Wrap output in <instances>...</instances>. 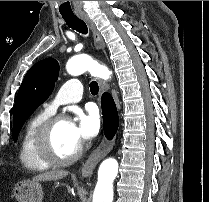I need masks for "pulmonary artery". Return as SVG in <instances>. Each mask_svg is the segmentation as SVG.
I'll return each instance as SVG.
<instances>
[{
	"label": "pulmonary artery",
	"mask_w": 209,
	"mask_h": 202,
	"mask_svg": "<svg viewBox=\"0 0 209 202\" xmlns=\"http://www.w3.org/2000/svg\"><path fill=\"white\" fill-rule=\"evenodd\" d=\"M81 96H82L81 80L78 79L68 80L60 86L58 100L53 103L46 104V110L52 114L56 111L59 105L78 102L81 99Z\"/></svg>",
	"instance_id": "pulmonary-artery-1"
}]
</instances>
